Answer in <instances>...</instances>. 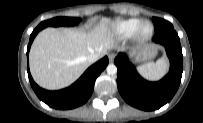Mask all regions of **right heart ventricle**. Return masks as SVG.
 Wrapping results in <instances>:
<instances>
[{
  "label": "right heart ventricle",
  "instance_id": "obj_1",
  "mask_svg": "<svg viewBox=\"0 0 203 123\" xmlns=\"http://www.w3.org/2000/svg\"><path fill=\"white\" fill-rule=\"evenodd\" d=\"M141 21L142 20L138 18L119 20L113 23L111 31L119 38H129L132 36L135 28Z\"/></svg>",
  "mask_w": 203,
  "mask_h": 123
}]
</instances>
